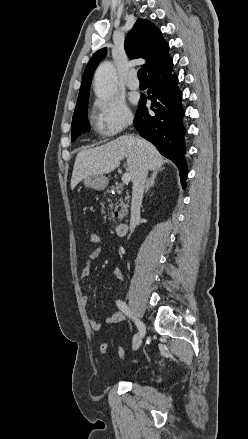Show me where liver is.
Instances as JSON below:
<instances>
[{
  "label": "liver",
  "instance_id": "1",
  "mask_svg": "<svg viewBox=\"0 0 248 439\" xmlns=\"http://www.w3.org/2000/svg\"><path fill=\"white\" fill-rule=\"evenodd\" d=\"M127 158V166L133 179L139 163L145 157L148 168L161 170L164 157L148 141L133 136H121L105 145L81 150L75 159L71 189L90 175L107 174L115 170L120 161Z\"/></svg>",
  "mask_w": 248,
  "mask_h": 439
}]
</instances>
